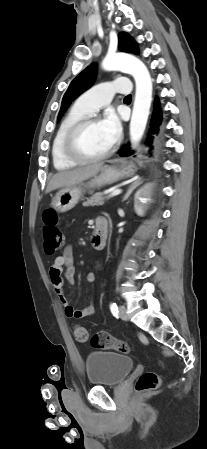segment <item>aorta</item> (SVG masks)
Segmentation results:
<instances>
[{"mask_svg":"<svg viewBox=\"0 0 207 449\" xmlns=\"http://www.w3.org/2000/svg\"><path fill=\"white\" fill-rule=\"evenodd\" d=\"M102 67L107 71H122L134 77L136 94L130 121V138L133 143H137L144 134L152 101L153 86L150 73L138 58L122 53L107 55Z\"/></svg>","mask_w":207,"mask_h":449,"instance_id":"obj_1","label":"aorta"}]
</instances>
